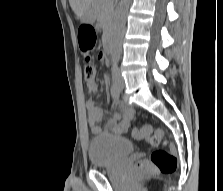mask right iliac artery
I'll return each instance as SVG.
<instances>
[{"label": "right iliac artery", "instance_id": "82829eb1", "mask_svg": "<svg viewBox=\"0 0 223 191\" xmlns=\"http://www.w3.org/2000/svg\"><path fill=\"white\" fill-rule=\"evenodd\" d=\"M112 86H111V95L113 99H118L120 96V90L117 86L116 79H115V68L112 69Z\"/></svg>", "mask_w": 223, "mask_h": 191}]
</instances>
